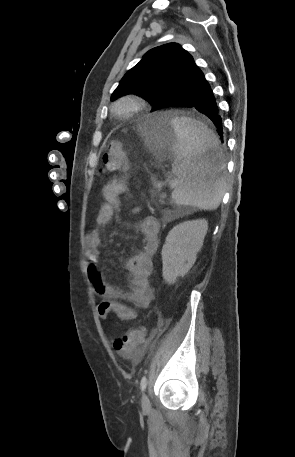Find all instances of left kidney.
Instances as JSON below:
<instances>
[{
    "mask_svg": "<svg viewBox=\"0 0 295 457\" xmlns=\"http://www.w3.org/2000/svg\"><path fill=\"white\" fill-rule=\"evenodd\" d=\"M208 230L205 219L185 221L176 225L167 235L162 248L163 278L173 284L184 277L196 261Z\"/></svg>",
    "mask_w": 295,
    "mask_h": 457,
    "instance_id": "left-kidney-1",
    "label": "left kidney"
}]
</instances>
